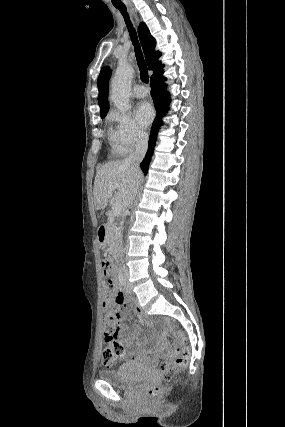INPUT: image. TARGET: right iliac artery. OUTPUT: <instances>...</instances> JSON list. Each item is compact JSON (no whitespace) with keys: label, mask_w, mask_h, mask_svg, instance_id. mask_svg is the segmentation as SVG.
Listing matches in <instances>:
<instances>
[{"label":"right iliac artery","mask_w":285,"mask_h":427,"mask_svg":"<svg viewBox=\"0 0 285 427\" xmlns=\"http://www.w3.org/2000/svg\"><path fill=\"white\" fill-rule=\"evenodd\" d=\"M121 284H122V285H124V284H125L124 279H123V277H122V276H121Z\"/></svg>","instance_id":"obj_1"}]
</instances>
